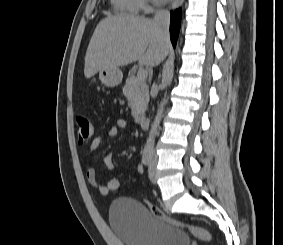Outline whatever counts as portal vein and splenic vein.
Wrapping results in <instances>:
<instances>
[{
	"instance_id": "18ae733b",
	"label": "portal vein and splenic vein",
	"mask_w": 283,
	"mask_h": 245,
	"mask_svg": "<svg viewBox=\"0 0 283 245\" xmlns=\"http://www.w3.org/2000/svg\"><path fill=\"white\" fill-rule=\"evenodd\" d=\"M137 76L140 78H146L148 76V72L144 68H140L138 70Z\"/></svg>"
}]
</instances>
